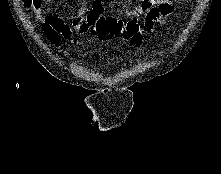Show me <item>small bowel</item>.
Returning <instances> with one entry per match:
<instances>
[{"instance_id":"c3829d8e","label":"small bowel","mask_w":221,"mask_h":174,"mask_svg":"<svg viewBox=\"0 0 221 174\" xmlns=\"http://www.w3.org/2000/svg\"><path fill=\"white\" fill-rule=\"evenodd\" d=\"M43 1L48 3L50 0H40L39 4L33 8L34 15L38 21H43L44 32L53 44H57L59 35L68 39L72 38V30L77 33L89 32L98 20L104 17L106 7L114 4L112 0H90V6L82 2L79 12L71 17V25L68 26L63 16L58 13L44 17L41 8ZM173 11L171 0H140V3L133 8L119 9L120 14L134 20L144 15L143 25L146 31H152L157 25L164 24Z\"/></svg>"}]
</instances>
